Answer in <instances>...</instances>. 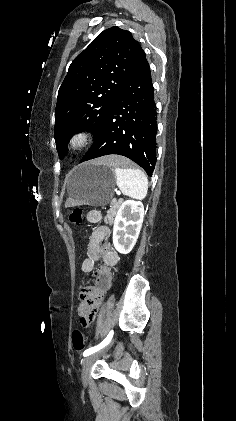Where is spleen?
<instances>
[{
    "label": "spleen",
    "mask_w": 236,
    "mask_h": 421,
    "mask_svg": "<svg viewBox=\"0 0 236 421\" xmlns=\"http://www.w3.org/2000/svg\"><path fill=\"white\" fill-rule=\"evenodd\" d=\"M116 182L123 194L143 200L148 190L146 174L140 168H123V164L116 162Z\"/></svg>",
    "instance_id": "obj_1"
}]
</instances>
